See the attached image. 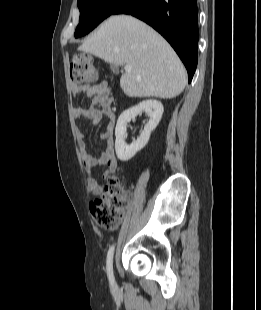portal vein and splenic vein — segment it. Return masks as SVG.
I'll return each mask as SVG.
<instances>
[{
    "mask_svg": "<svg viewBox=\"0 0 261 310\" xmlns=\"http://www.w3.org/2000/svg\"><path fill=\"white\" fill-rule=\"evenodd\" d=\"M124 69H125L126 72H129V71L132 70V67L130 65H125Z\"/></svg>",
    "mask_w": 261,
    "mask_h": 310,
    "instance_id": "1",
    "label": "portal vein and splenic vein"
}]
</instances>
